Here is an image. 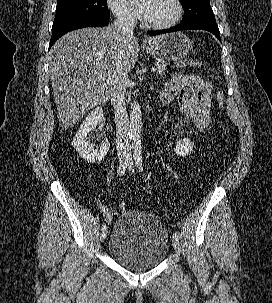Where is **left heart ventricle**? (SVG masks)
<instances>
[{"instance_id":"left-heart-ventricle-1","label":"left heart ventricle","mask_w":272,"mask_h":303,"mask_svg":"<svg viewBox=\"0 0 272 303\" xmlns=\"http://www.w3.org/2000/svg\"><path fill=\"white\" fill-rule=\"evenodd\" d=\"M140 7L143 9V16L151 23H166L176 13L173 0H140Z\"/></svg>"}]
</instances>
